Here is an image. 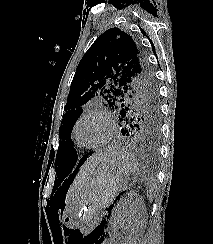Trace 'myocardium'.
<instances>
[{
  "label": "myocardium",
  "mask_w": 213,
  "mask_h": 244,
  "mask_svg": "<svg viewBox=\"0 0 213 244\" xmlns=\"http://www.w3.org/2000/svg\"><path fill=\"white\" fill-rule=\"evenodd\" d=\"M89 117H100L101 119H103L105 121V123L107 125V134H106L105 138L101 142H99L95 145L84 144L78 138L79 125L85 119H87ZM115 131H116V125H115V121H114L113 117L111 116V114L106 109L98 108V109L87 111L78 118V120L76 121V123L74 124V127H73V138L76 141V143L83 148L96 149V148H100V147L106 145L113 138Z\"/></svg>",
  "instance_id": "f54148a6"
}]
</instances>
